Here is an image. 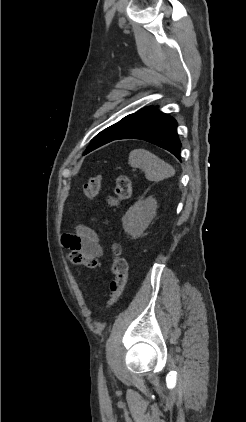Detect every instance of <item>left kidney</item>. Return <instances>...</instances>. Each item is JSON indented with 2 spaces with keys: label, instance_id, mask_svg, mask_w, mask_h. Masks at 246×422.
Instances as JSON below:
<instances>
[{
  "label": "left kidney",
  "instance_id": "5707ae66",
  "mask_svg": "<svg viewBox=\"0 0 246 422\" xmlns=\"http://www.w3.org/2000/svg\"><path fill=\"white\" fill-rule=\"evenodd\" d=\"M157 201L153 197L140 200L131 206L122 218L125 233L139 238L156 215Z\"/></svg>",
  "mask_w": 246,
  "mask_h": 422
}]
</instances>
